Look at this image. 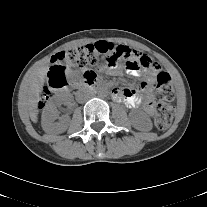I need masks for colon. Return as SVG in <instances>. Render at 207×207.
Returning <instances> with one entry per match:
<instances>
[{
	"label": "colon",
	"mask_w": 207,
	"mask_h": 207,
	"mask_svg": "<svg viewBox=\"0 0 207 207\" xmlns=\"http://www.w3.org/2000/svg\"><path fill=\"white\" fill-rule=\"evenodd\" d=\"M119 61H124L125 66L130 70L140 69L141 72L151 77L156 75L155 126L161 132L166 131L174 114L173 107L169 104L175 96L172 80L168 73L159 72L160 68L154 56L145 55L142 51H135L124 45L114 46L107 42H97L58 52L52 58L53 68L49 76L50 85L54 88L65 86L66 78L63 66L72 65L80 68L103 66L111 69ZM87 74L93 75L92 73Z\"/></svg>",
	"instance_id": "obj_1"
}]
</instances>
